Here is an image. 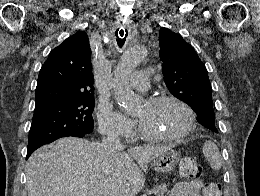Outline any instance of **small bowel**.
I'll return each mask as SVG.
<instances>
[{"instance_id":"1","label":"small bowel","mask_w":260,"mask_h":196,"mask_svg":"<svg viewBox=\"0 0 260 196\" xmlns=\"http://www.w3.org/2000/svg\"><path fill=\"white\" fill-rule=\"evenodd\" d=\"M206 184L199 179L180 181L173 187L170 196H207Z\"/></svg>"}]
</instances>
